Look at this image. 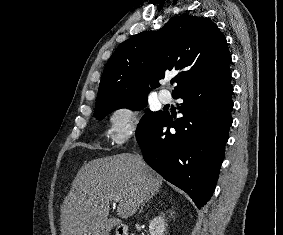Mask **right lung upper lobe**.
<instances>
[{
	"label": "right lung upper lobe",
	"mask_w": 283,
	"mask_h": 235,
	"mask_svg": "<svg viewBox=\"0 0 283 235\" xmlns=\"http://www.w3.org/2000/svg\"><path fill=\"white\" fill-rule=\"evenodd\" d=\"M225 36L210 19L188 14L172 17L160 30L144 31L121 43L108 60L96 104L148 95L168 71H178L181 89L229 72Z\"/></svg>",
	"instance_id": "cb5924a9"
}]
</instances>
